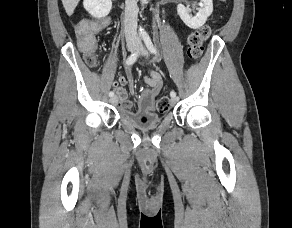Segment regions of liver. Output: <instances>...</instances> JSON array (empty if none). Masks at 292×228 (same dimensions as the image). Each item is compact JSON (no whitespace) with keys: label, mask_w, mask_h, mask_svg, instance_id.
I'll return each instance as SVG.
<instances>
[{"label":"liver","mask_w":292,"mask_h":228,"mask_svg":"<svg viewBox=\"0 0 292 228\" xmlns=\"http://www.w3.org/2000/svg\"><path fill=\"white\" fill-rule=\"evenodd\" d=\"M80 0H62V4L68 16H71Z\"/></svg>","instance_id":"liver-1"}]
</instances>
